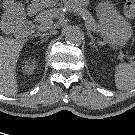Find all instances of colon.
<instances>
[{"mask_svg": "<svg viewBox=\"0 0 135 135\" xmlns=\"http://www.w3.org/2000/svg\"><path fill=\"white\" fill-rule=\"evenodd\" d=\"M124 12L128 18L135 19V0H126Z\"/></svg>", "mask_w": 135, "mask_h": 135, "instance_id": "1", "label": "colon"}]
</instances>
